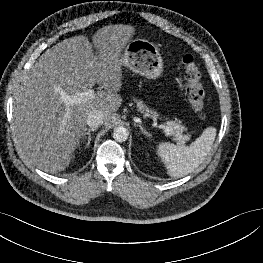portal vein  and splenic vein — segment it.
Instances as JSON below:
<instances>
[{"mask_svg": "<svg viewBox=\"0 0 263 263\" xmlns=\"http://www.w3.org/2000/svg\"><path fill=\"white\" fill-rule=\"evenodd\" d=\"M61 98L65 105L68 107L67 112H66V117L70 114V106H73L74 104H78L84 101H87L88 99H91L94 97L95 92L93 89H88L86 91L74 94V95H68L65 92L61 91ZM159 128L163 129L164 132L167 135H170L169 133V128L165 125H159Z\"/></svg>", "mask_w": 263, "mask_h": 263, "instance_id": "18ae733b", "label": "portal vein and splenic vein"}]
</instances>
